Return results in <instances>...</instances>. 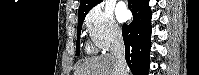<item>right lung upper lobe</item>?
Wrapping results in <instances>:
<instances>
[{"instance_id": "1", "label": "right lung upper lobe", "mask_w": 199, "mask_h": 75, "mask_svg": "<svg viewBox=\"0 0 199 75\" xmlns=\"http://www.w3.org/2000/svg\"><path fill=\"white\" fill-rule=\"evenodd\" d=\"M101 1L102 0H80L78 17L86 15L94 6L99 4Z\"/></svg>"}]
</instances>
